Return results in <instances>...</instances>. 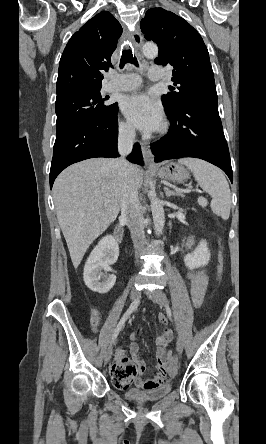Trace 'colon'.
Listing matches in <instances>:
<instances>
[{
    "label": "colon",
    "mask_w": 266,
    "mask_h": 444,
    "mask_svg": "<svg viewBox=\"0 0 266 444\" xmlns=\"http://www.w3.org/2000/svg\"><path fill=\"white\" fill-rule=\"evenodd\" d=\"M224 271V256L222 246H220L219 254H218V262H217V279L220 280ZM167 363L172 372L176 370V359L175 355L172 351L167 353Z\"/></svg>",
    "instance_id": "1"
}]
</instances>
